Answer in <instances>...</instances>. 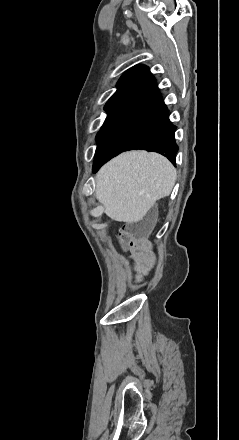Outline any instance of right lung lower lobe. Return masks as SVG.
Returning a JSON list of instances; mask_svg holds the SVG:
<instances>
[{
	"label": "right lung lower lobe",
	"instance_id": "right-lung-lower-lobe-1",
	"mask_svg": "<svg viewBox=\"0 0 239 440\" xmlns=\"http://www.w3.org/2000/svg\"><path fill=\"white\" fill-rule=\"evenodd\" d=\"M176 126L168 118L158 87L132 100L96 150L93 171L119 153L131 149L158 152L175 164Z\"/></svg>",
	"mask_w": 239,
	"mask_h": 440
}]
</instances>
